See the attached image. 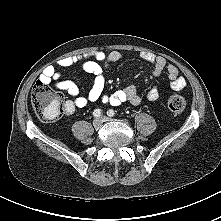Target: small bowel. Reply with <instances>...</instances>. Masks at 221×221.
Returning <instances> with one entry per match:
<instances>
[{"label":"small bowel","instance_id":"1","mask_svg":"<svg viewBox=\"0 0 221 221\" xmlns=\"http://www.w3.org/2000/svg\"><path fill=\"white\" fill-rule=\"evenodd\" d=\"M122 58L123 54L120 51H95L92 53L67 56L59 60L58 65L60 67L80 65L86 73L93 76L92 86L86 96L80 95L79 87L75 82L62 79L61 73L55 66H47L40 75L39 81L46 84L53 83L55 88L66 92L70 96L64 104V111L67 116L72 115L77 108H83L90 102L97 100H102L104 103H109L113 106H118L124 102L138 105L141 102V96L135 86L125 87L110 95L104 94V69L111 63ZM140 58L152 64L153 74L155 76L166 71L170 79V88L172 90L180 91L185 88V78L180 75L179 70L174 65L168 64L163 57L150 52H141ZM158 97L159 93L156 87L151 88L147 93V98L150 101H156Z\"/></svg>","mask_w":221,"mask_h":221}]
</instances>
